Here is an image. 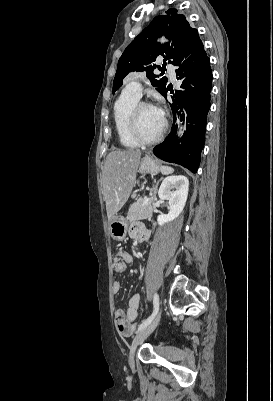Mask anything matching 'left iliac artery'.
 Wrapping results in <instances>:
<instances>
[{
  "mask_svg": "<svg viewBox=\"0 0 273 401\" xmlns=\"http://www.w3.org/2000/svg\"><path fill=\"white\" fill-rule=\"evenodd\" d=\"M153 306H154L153 313L151 314V316H149L145 321H143L139 325L138 330H141V329L145 328L154 319V317L158 313V310H159V296L156 293L153 296Z\"/></svg>",
  "mask_w": 273,
  "mask_h": 401,
  "instance_id": "obj_1",
  "label": "left iliac artery"
}]
</instances>
